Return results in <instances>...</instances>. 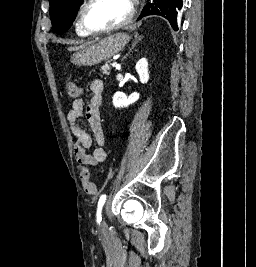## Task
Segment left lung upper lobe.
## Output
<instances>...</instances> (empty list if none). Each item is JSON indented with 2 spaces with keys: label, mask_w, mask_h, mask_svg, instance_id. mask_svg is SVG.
Instances as JSON below:
<instances>
[{
  "label": "left lung upper lobe",
  "mask_w": 256,
  "mask_h": 267,
  "mask_svg": "<svg viewBox=\"0 0 256 267\" xmlns=\"http://www.w3.org/2000/svg\"><path fill=\"white\" fill-rule=\"evenodd\" d=\"M83 0H49L50 17L57 34L64 33L73 23ZM148 15H160L173 22V0H153L142 10L138 19Z\"/></svg>",
  "instance_id": "5c2ea615"
}]
</instances>
